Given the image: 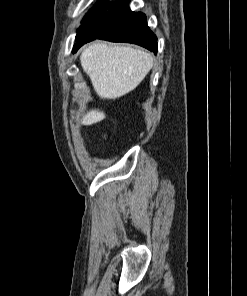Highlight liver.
I'll use <instances>...</instances> for the list:
<instances>
[{"label":"liver","mask_w":247,"mask_h":296,"mask_svg":"<svg viewBox=\"0 0 247 296\" xmlns=\"http://www.w3.org/2000/svg\"><path fill=\"white\" fill-rule=\"evenodd\" d=\"M80 62L94 90L102 99H116L134 90L153 67L150 53L128 46H111L104 42L85 48ZM104 118L103 111L92 109L83 116L81 123L92 125Z\"/></svg>","instance_id":"6515ba94"}]
</instances>
